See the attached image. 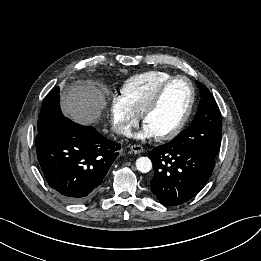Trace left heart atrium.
Masks as SVG:
<instances>
[{
  "label": "left heart atrium",
  "instance_id": "left-heart-atrium-1",
  "mask_svg": "<svg viewBox=\"0 0 261 261\" xmlns=\"http://www.w3.org/2000/svg\"><path fill=\"white\" fill-rule=\"evenodd\" d=\"M155 136L154 132L146 125H144L142 131L137 134V137L141 139L153 138Z\"/></svg>",
  "mask_w": 261,
  "mask_h": 261
}]
</instances>
